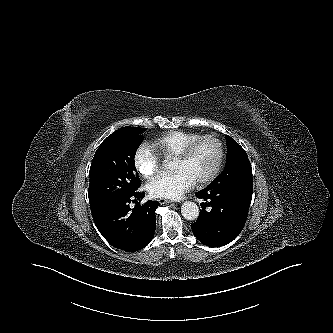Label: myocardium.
I'll return each mask as SVG.
<instances>
[{"instance_id":"obj_1","label":"myocardium","mask_w":333,"mask_h":333,"mask_svg":"<svg viewBox=\"0 0 333 333\" xmlns=\"http://www.w3.org/2000/svg\"><path fill=\"white\" fill-rule=\"evenodd\" d=\"M207 139L213 140L216 143V145L218 147V158H217L216 164H215L212 172L206 178L196 182V184L198 186L209 185L220 174V171L222 169L223 162H224V157H225V151H224V146H223L222 141L215 135H211V134L201 135V136L197 137L196 139L192 140L191 142H189L184 147V149L174 158V160H177V161H184V160L188 159L191 156V154L193 153V151L195 150V148L197 147V145L200 142L207 140Z\"/></svg>"}]
</instances>
